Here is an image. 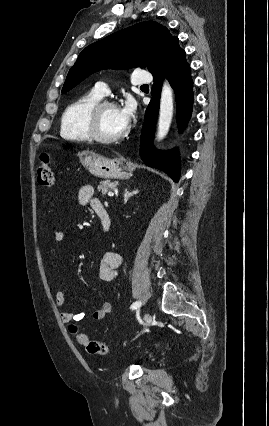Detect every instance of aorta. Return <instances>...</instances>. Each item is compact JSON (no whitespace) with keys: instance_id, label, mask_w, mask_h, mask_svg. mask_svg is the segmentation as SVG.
I'll return each mask as SVG.
<instances>
[{"instance_id":"aorta-1","label":"aorta","mask_w":269,"mask_h":426,"mask_svg":"<svg viewBox=\"0 0 269 426\" xmlns=\"http://www.w3.org/2000/svg\"><path fill=\"white\" fill-rule=\"evenodd\" d=\"M173 118V90L167 81L164 82L160 99V111L157 129V139L162 140L167 135Z\"/></svg>"}]
</instances>
